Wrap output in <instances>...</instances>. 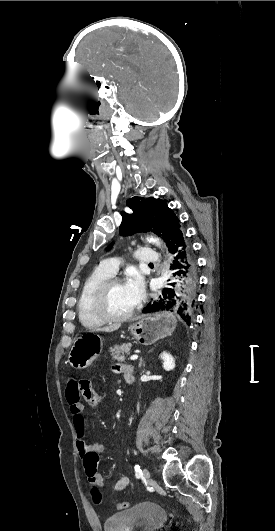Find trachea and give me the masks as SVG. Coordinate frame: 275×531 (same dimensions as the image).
I'll return each instance as SVG.
<instances>
[{
    "label": "trachea",
    "mask_w": 275,
    "mask_h": 531,
    "mask_svg": "<svg viewBox=\"0 0 275 531\" xmlns=\"http://www.w3.org/2000/svg\"><path fill=\"white\" fill-rule=\"evenodd\" d=\"M149 266H150V267H153V263H149Z\"/></svg>",
    "instance_id": "1"
}]
</instances>
